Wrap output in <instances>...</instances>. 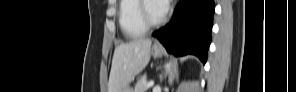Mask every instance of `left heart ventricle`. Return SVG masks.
<instances>
[{"label": "left heart ventricle", "instance_id": "b2bd125f", "mask_svg": "<svg viewBox=\"0 0 296 92\" xmlns=\"http://www.w3.org/2000/svg\"><path fill=\"white\" fill-rule=\"evenodd\" d=\"M148 12H149V16L152 20H158L161 18V16L158 14V12L155 8V3L153 1L149 2Z\"/></svg>", "mask_w": 296, "mask_h": 92}]
</instances>
